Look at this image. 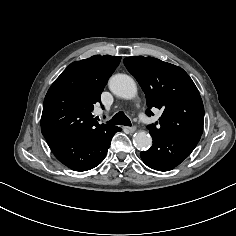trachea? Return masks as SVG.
Masks as SVG:
<instances>
[{
	"label": "trachea",
	"instance_id": "1",
	"mask_svg": "<svg viewBox=\"0 0 236 236\" xmlns=\"http://www.w3.org/2000/svg\"><path fill=\"white\" fill-rule=\"evenodd\" d=\"M108 124L131 126L130 119L125 115L124 112H118L113 116V118L107 122Z\"/></svg>",
	"mask_w": 236,
	"mask_h": 236
}]
</instances>
